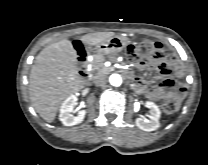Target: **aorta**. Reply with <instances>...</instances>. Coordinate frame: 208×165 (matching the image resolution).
I'll list each match as a JSON object with an SVG mask.
<instances>
[{
  "instance_id": "obj_1",
  "label": "aorta",
  "mask_w": 208,
  "mask_h": 165,
  "mask_svg": "<svg viewBox=\"0 0 208 165\" xmlns=\"http://www.w3.org/2000/svg\"><path fill=\"white\" fill-rule=\"evenodd\" d=\"M109 82L112 86L118 87L122 84V78L119 74H112L109 78Z\"/></svg>"
}]
</instances>
